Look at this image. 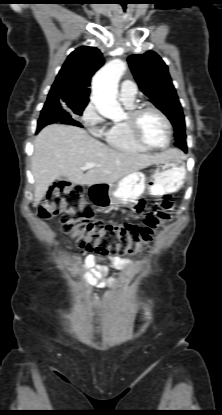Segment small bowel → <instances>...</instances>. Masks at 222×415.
I'll return each instance as SVG.
<instances>
[{"instance_id":"obj_1","label":"small bowel","mask_w":222,"mask_h":415,"mask_svg":"<svg viewBox=\"0 0 222 415\" xmlns=\"http://www.w3.org/2000/svg\"><path fill=\"white\" fill-rule=\"evenodd\" d=\"M82 256L84 257V266L86 268L98 266L97 269L91 270L86 274V281L92 286H101L107 282L106 273L109 264H113L117 268H124L128 264L127 260L118 257L110 258L86 253H82ZM94 298L98 301L96 296Z\"/></svg>"}]
</instances>
